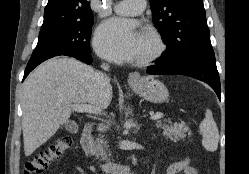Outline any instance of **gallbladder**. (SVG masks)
I'll return each instance as SVG.
<instances>
[{"label":"gallbladder","mask_w":249,"mask_h":174,"mask_svg":"<svg viewBox=\"0 0 249 174\" xmlns=\"http://www.w3.org/2000/svg\"><path fill=\"white\" fill-rule=\"evenodd\" d=\"M65 127L70 132H74L78 130V125L74 121L67 122Z\"/></svg>","instance_id":"bac80fb5"}]
</instances>
